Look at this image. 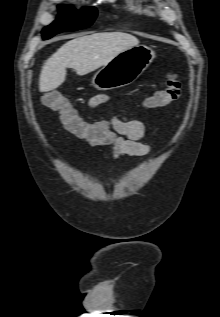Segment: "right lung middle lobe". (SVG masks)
I'll return each mask as SVG.
<instances>
[{
  "instance_id": "right-lung-middle-lobe-1",
  "label": "right lung middle lobe",
  "mask_w": 220,
  "mask_h": 317,
  "mask_svg": "<svg viewBox=\"0 0 220 317\" xmlns=\"http://www.w3.org/2000/svg\"><path fill=\"white\" fill-rule=\"evenodd\" d=\"M59 9L60 14L57 19L43 29V39H49L61 32L87 28L97 16L95 8H83L81 11H76L70 6L60 5Z\"/></svg>"
}]
</instances>
